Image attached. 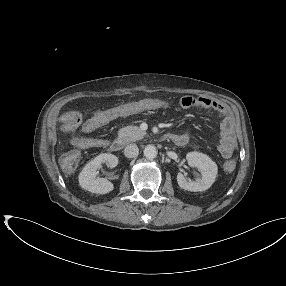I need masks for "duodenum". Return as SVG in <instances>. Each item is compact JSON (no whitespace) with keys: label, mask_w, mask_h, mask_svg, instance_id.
<instances>
[{"label":"duodenum","mask_w":286,"mask_h":286,"mask_svg":"<svg viewBox=\"0 0 286 286\" xmlns=\"http://www.w3.org/2000/svg\"><path fill=\"white\" fill-rule=\"evenodd\" d=\"M165 138L171 140L177 146H184L186 144L185 140L182 137H179L174 134H166ZM124 146V141L120 138L113 139L109 143V148L113 152H119Z\"/></svg>","instance_id":"410a0bca"}]
</instances>
